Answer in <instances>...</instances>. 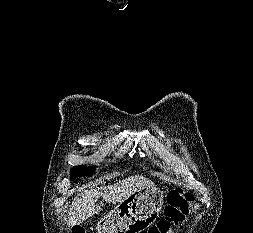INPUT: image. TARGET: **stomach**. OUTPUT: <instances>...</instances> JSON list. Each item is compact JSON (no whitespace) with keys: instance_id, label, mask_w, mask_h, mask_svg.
I'll return each instance as SVG.
<instances>
[{"instance_id":"obj_1","label":"stomach","mask_w":253,"mask_h":233,"mask_svg":"<svg viewBox=\"0 0 253 233\" xmlns=\"http://www.w3.org/2000/svg\"><path fill=\"white\" fill-rule=\"evenodd\" d=\"M163 203V192L159 188H142L120 202L98 223V233L144 232L156 221Z\"/></svg>"}]
</instances>
